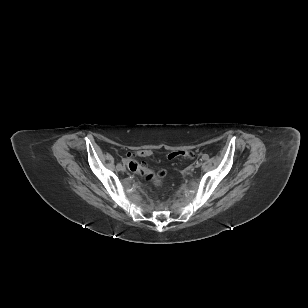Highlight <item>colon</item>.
<instances>
[{"label": "colon", "mask_w": 308, "mask_h": 308, "mask_svg": "<svg viewBox=\"0 0 308 308\" xmlns=\"http://www.w3.org/2000/svg\"><path fill=\"white\" fill-rule=\"evenodd\" d=\"M137 155L139 157H149L152 155V152L150 150H140L137 152ZM193 156V153L189 150H182V151H175L171 152L168 155V159H175L178 157H183V158H191ZM130 160V157H127L125 159L126 162ZM129 169L139 175L144 177L148 181H152L156 184L162 183L163 179L165 178V172L164 171H154L147 166H145L142 163H139L135 160H131L129 162Z\"/></svg>", "instance_id": "obj_1"}]
</instances>
